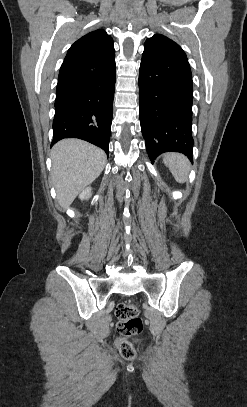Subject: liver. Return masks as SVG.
Wrapping results in <instances>:
<instances>
[{"instance_id": "obj_1", "label": "liver", "mask_w": 247, "mask_h": 407, "mask_svg": "<svg viewBox=\"0 0 247 407\" xmlns=\"http://www.w3.org/2000/svg\"><path fill=\"white\" fill-rule=\"evenodd\" d=\"M52 183L63 209L103 171L106 154L100 148L79 139H64L52 152Z\"/></svg>"}]
</instances>
